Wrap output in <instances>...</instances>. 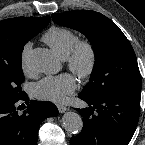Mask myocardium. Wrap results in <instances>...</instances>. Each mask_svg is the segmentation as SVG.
Returning a JSON list of instances; mask_svg holds the SVG:
<instances>
[{"instance_id":"obj_1","label":"myocardium","mask_w":145,"mask_h":145,"mask_svg":"<svg viewBox=\"0 0 145 145\" xmlns=\"http://www.w3.org/2000/svg\"><path fill=\"white\" fill-rule=\"evenodd\" d=\"M66 62L68 68L79 78H89L97 63L94 45L87 39H78L70 54L66 57Z\"/></svg>"}]
</instances>
